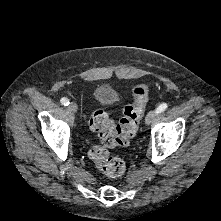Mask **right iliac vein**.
<instances>
[{
	"instance_id": "right-iliac-vein-1",
	"label": "right iliac vein",
	"mask_w": 221,
	"mask_h": 221,
	"mask_svg": "<svg viewBox=\"0 0 221 221\" xmlns=\"http://www.w3.org/2000/svg\"><path fill=\"white\" fill-rule=\"evenodd\" d=\"M69 110L71 111V112H74V113H76L77 112V110H78V106H77V104L76 103H74V102H71L70 104H69Z\"/></svg>"
}]
</instances>
